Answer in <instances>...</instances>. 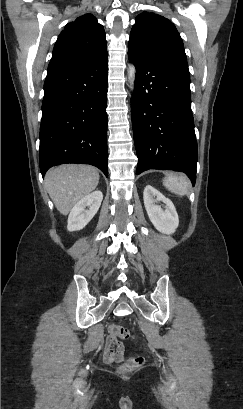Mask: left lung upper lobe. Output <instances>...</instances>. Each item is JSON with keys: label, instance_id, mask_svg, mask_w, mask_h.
Instances as JSON below:
<instances>
[{"label": "left lung upper lobe", "instance_id": "1", "mask_svg": "<svg viewBox=\"0 0 243 409\" xmlns=\"http://www.w3.org/2000/svg\"><path fill=\"white\" fill-rule=\"evenodd\" d=\"M130 33L128 55L139 61L178 54L186 57L182 39L167 18L142 12L135 19Z\"/></svg>", "mask_w": 243, "mask_h": 409}]
</instances>
